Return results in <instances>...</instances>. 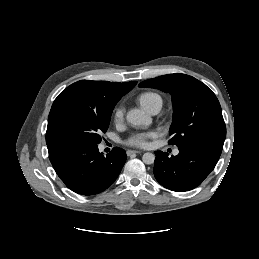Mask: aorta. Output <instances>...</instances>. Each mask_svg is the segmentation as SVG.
I'll list each match as a JSON object with an SVG mask.
<instances>
[{
  "mask_svg": "<svg viewBox=\"0 0 259 259\" xmlns=\"http://www.w3.org/2000/svg\"><path fill=\"white\" fill-rule=\"evenodd\" d=\"M127 122L134 127H148L152 123V119L143 110L131 109L126 115ZM142 160L145 164H153L155 155L150 152H146L142 156Z\"/></svg>",
  "mask_w": 259,
  "mask_h": 259,
  "instance_id": "1",
  "label": "aorta"
}]
</instances>
